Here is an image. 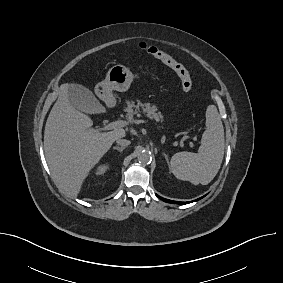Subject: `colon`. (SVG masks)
<instances>
[{
	"mask_svg": "<svg viewBox=\"0 0 283 283\" xmlns=\"http://www.w3.org/2000/svg\"><path fill=\"white\" fill-rule=\"evenodd\" d=\"M139 47L141 50L145 51L169 67L177 75L183 91L190 92L192 90L193 81L189 71L172 55L157 46L146 43H140Z\"/></svg>",
	"mask_w": 283,
	"mask_h": 283,
	"instance_id": "obj_1",
	"label": "colon"
}]
</instances>
